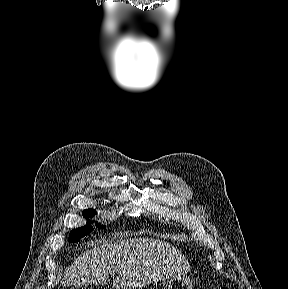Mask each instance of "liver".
I'll return each mask as SVG.
<instances>
[{"label":"liver","instance_id":"obj_1","mask_svg":"<svg viewBox=\"0 0 288 289\" xmlns=\"http://www.w3.org/2000/svg\"><path fill=\"white\" fill-rule=\"evenodd\" d=\"M92 246L65 271V285H105L109 274L116 273L115 288L136 289L191 270L178 249L158 239L97 241Z\"/></svg>","mask_w":288,"mask_h":289}]
</instances>
